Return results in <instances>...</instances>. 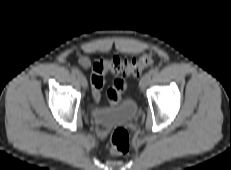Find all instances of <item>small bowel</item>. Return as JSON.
<instances>
[{
    "instance_id": "obj_1",
    "label": "small bowel",
    "mask_w": 231,
    "mask_h": 170,
    "mask_svg": "<svg viewBox=\"0 0 231 170\" xmlns=\"http://www.w3.org/2000/svg\"><path fill=\"white\" fill-rule=\"evenodd\" d=\"M90 60L88 57L86 56H81L79 59H78V64L79 66H81L82 68L84 69H87L89 66H90Z\"/></svg>"
}]
</instances>
